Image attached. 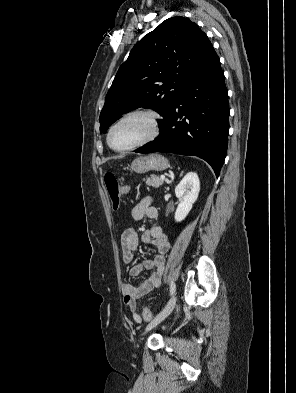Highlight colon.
Wrapping results in <instances>:
<instances>
[{"label":"colon","mask_w":296,"mask_h":393,"mask_svg":"<svg viewBox=\"0 0 296 393\" xmlns=\"http://www.w3.org/2000/svg\"><path fill=\"white\" fill-rule=\"evenodd\" d=\"M103 182L109 194L112 207L114 210H117L120 205V196L122 194H126L129 191V187L126 185H120L112 173L105 174ZM142 317L146 322H150L153 319V314L148 307L143 308Z\"/></svg>","instance_id":"obj_1"}]
</instances>
